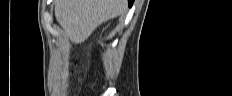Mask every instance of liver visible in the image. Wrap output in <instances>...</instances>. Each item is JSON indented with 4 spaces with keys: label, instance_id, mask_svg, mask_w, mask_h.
I'll return each instance as SVG.
<instances>
[{
    "label": "liver",
    "instance_id": "obj_1",
    "mask_svg": "<svg viewBox=\"0 0 232 96\" xmlns=\"http://www.w3.org/2000/svg\"><path fill=\"white\" fill-rule=\"evenodd\" d=\"M127 0H56L55 17L71 42L85 41L103 22L122 15Z\"/></svg>",
    "mask_w": 232,
    "mask_h": 96
}]
</instances>
